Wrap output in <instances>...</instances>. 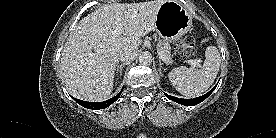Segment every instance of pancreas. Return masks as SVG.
I'll return each instance as SVG.
<instances>
[{"instance_id":"cf45deb5","label":"pancreas","mask_w":276,"mask_h":138,"mask_svg":"<svg viewBox=\"0 0 276 138\" xmlns=\"http://www.w3.org/2000/svg\"><path fill=\"white\" fill-rule=\"evenodd\" d=\"M170 44L163 39H159L158 45H157V50H160L163 52V54L170 60L172 61L171 58V52H170Z\"/></svg>"}]
</instances>
